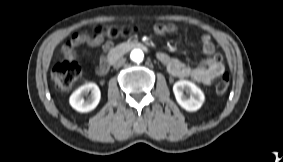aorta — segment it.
<instances>
[{"mask_svg": "<svg viewBox=\"0 0 283 162\" xmlns=\"http://www.w3.org/2000/svg\"><path fill=\"white\" fill-rule=\"evenodd\" d=\"M130 58L133 62L140 63L144 59V53L140 49H134L130 53Z\"/></svg>", "mask_w": 283, "mask_h": 162, "instance_id": "obj_1", "label": "aorta"}]
</instances>
